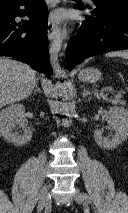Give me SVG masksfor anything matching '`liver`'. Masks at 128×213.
<instances>
[{
    "mask_svg": "<svg viewBox=\"0 0 128 213\" xmlns=\"http://www.w3.org/2000/svg\"><path fill=\"white\" fill-rule=\"evenodd\" d=\"M36 72L27 64L0 57V108L30 96Z\"/></svg>",
    "mask_w": 128,
    "mask_h": 213,
    "instance_id": "6515ba94",
    "label": "liver"
}]
</instances>
